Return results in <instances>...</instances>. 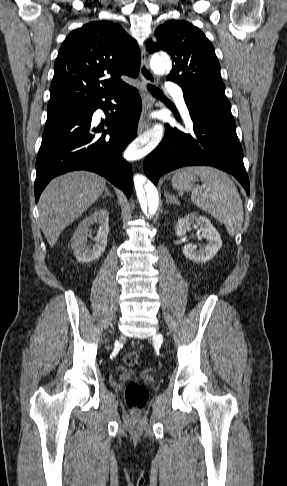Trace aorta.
Masks as SVG:
<instances>
[{"mask_svg":"<svg viewBox=\"0 0 287 486\" xmlns=\"http://www.w3.org/2000/svg\"><path fill=\"white\" fill-rule=\"evenodd\" d=\"M150 67L155 74L161 75L166 70L171 69L172 63L168 56L154 54L150 59ZM162 137L163 128L160 127L157 130L155 140L151 142L149 139L144 140L141 145H147V147L153 148L161 141ZM134 186L141 209L147 215V217H153L156 214L159 206V196L156 187L150 181L142 183L138 179L134 180Z\"/></svg>","mask_w":287,"mask_h":486,"instance_id":"762f6f07","label":"aorta"}]
</instances>
